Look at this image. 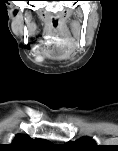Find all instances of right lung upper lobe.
Segmentation results:
<instances>
[{
  "label": "right lung upper lobe",
  "mask_w": 118,
  "mask_h": 151,
  "mask_svg": "<svg viewBox=\"0 0 118 151\" xmlns=\"http://www.w3.org/2000/svg\"><path fill=\"white\" fill-rule=\"evenodd\" d=\"M51 143L44 139H32L28 135L18 134L10 144L11 149L16 151H29L38 148H47Z\"/></svg>",
  "instance_id": "obj_1"
}]
</instances>
